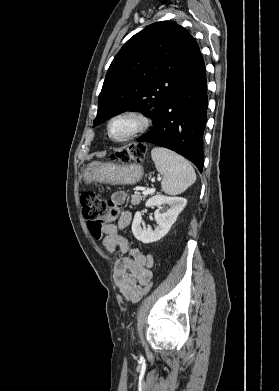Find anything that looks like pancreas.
<instances>
[{
  "instance_id": "pancreas-1",
  "label": "pancreas",
  "mask_w": 279,
  "mask_h": 391,
  "mask_svg": "<svg viewBox=\"0 0 279 391\" xmlns=\"http://www.w3.org/2000/svg\"><path fill=\"white\" fill-rule=\"evenodd\" d=\"M145 199L144 195H141L140 193H135L131 196V204L133 206L138 205L142 200Z\"/></svg>"
}]
</instances>
